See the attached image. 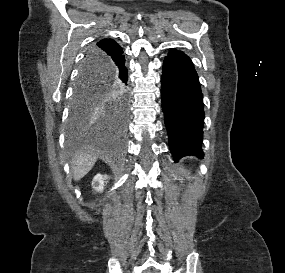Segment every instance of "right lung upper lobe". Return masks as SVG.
<instances>
[{
	"label": "right lung upper lobe",
	"instance_id": "cb5924a9",
	"mask_svg": "<svg viewBox=\"0 0 285 273\" xmlns=\"http://www.w3.org/2000/svg\"><path fill=\"white\" fill-rule=\"evenodd\" d=\"M92 50L96 52L99 57H112L122 53V48L112 39H103L93 46Z\"/></svg>",
	"mask_w": 285,
	"mask_h": 273
}]
</instances>
